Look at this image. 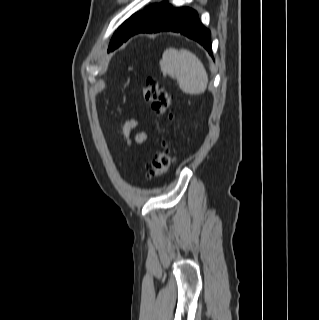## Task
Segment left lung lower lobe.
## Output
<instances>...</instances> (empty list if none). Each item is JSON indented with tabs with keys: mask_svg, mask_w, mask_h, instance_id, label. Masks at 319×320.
Returning <instances> with one entry per match:
<instances>
[{
	"mask_svg": "<svg viewBox=\"0 0 319 320\" xmlns=\"http://www.w3.org/2000/svg\"><path fill=\"white\" fill-rule=\"evenodd\" d=\"M160 31L181 33L197 41L212 56L210 31L200 23L197 12L190 8H173L167 1L148 9L134 24L124 41L138 33Z\"/></svg>",
	"mask_w": 319,
	"mask_h": 320,
	"instance_id": "0a47b994",
	"label": "left lung lower lobe"
}]
</instances>
